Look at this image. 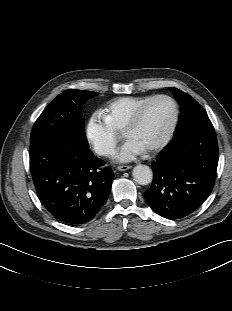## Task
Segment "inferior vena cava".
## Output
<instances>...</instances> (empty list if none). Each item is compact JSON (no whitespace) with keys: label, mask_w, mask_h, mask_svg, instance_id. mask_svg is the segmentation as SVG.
Segmentation results:
<instances>
[{"label":"inferior vena cava","mask_w":232,"mask_h":311,"mask_svg":"<svg viewBox=\"0 0 232 311\" xmlns=\"http://www.w3.org/2000/svg\"><path fill=\"white\" fill-rule=\"evenodd\" d=\"M105 153H106V150L104 149L99 151V154H105Z\"/></svg>","instance_id":"inferior-vena-cava-1"}]
</instances>
